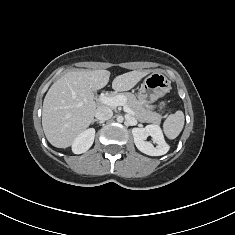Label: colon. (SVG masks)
Wrapping results in <instances>:
<instances>
[{"instance_id": "colon-1", "label": "colon", "mask_w": 235, "mask_h": 235, "mask_svg": "<svg viewBox=\"0 0 235 235\" xmlns=\"http://www.w3.org/2000/svg\"><path fill=\"white\" fill-rule=\"evenodd\" d=\"M158 108L161 110V111H164L165 109V103L161 102L158 104Z\"/></svg>"}]
</instances>
